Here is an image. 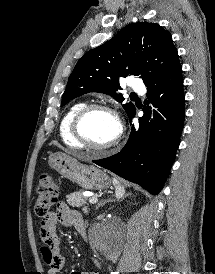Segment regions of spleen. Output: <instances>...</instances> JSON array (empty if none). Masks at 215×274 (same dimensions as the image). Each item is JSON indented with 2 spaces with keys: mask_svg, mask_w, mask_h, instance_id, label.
Listing matches in <instances>:
<instances>
[{
  "mask_svg": "<svg viewBox=\"0 0 215 274\" xmlns=\"http://www.w3.org/2000/svg\"><path fill=\"white\" fill-rule=\"evenodd\" d=\"M113 185L115 187V195L120 197L124 191V187L121 186L120 182L116 178H113Z\"/></svg>",
  "mask_w": 215,
  "mask_h": 274,
  "instance_id": "1",
  "label": "spleen"
}]
</instances>
